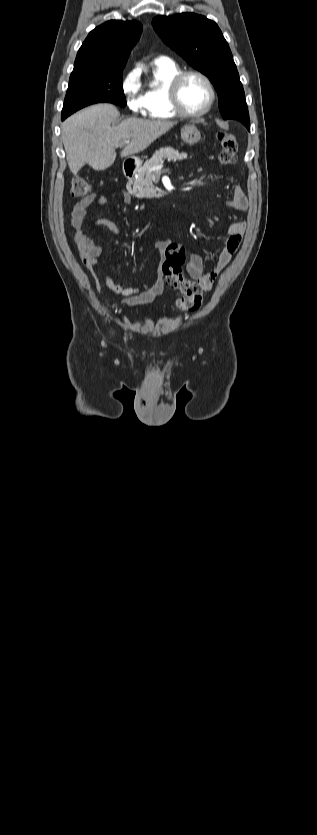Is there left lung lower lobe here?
Returning <instances> with one entry per match:
<instances>
[{
    "mask_svg": "<svg viewBox=\"0 0 317 835\" xmlns=\"http://www.w3.org/2000/svg\"><path fill=\"white\" fill-rule=\"evenodd\" d=\"M248 130H250V125H245Z\"/></svg>",
    "mask_w": 317,
    "mask_h": 835,
    "instance_id": "1",
    "label": "left lung lower lobe"
}]
</instances>
